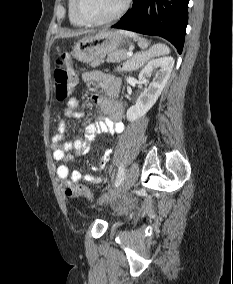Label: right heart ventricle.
<instances>
[{"label": "right heart ventricle", "instance_id": "1", "mask_svg": "<svg viewBox=\"0 0 233 284\" xmlns=\"http://www.w3.org/2000/svg\"><path fill=\"white\" fill-rule=\"evenodd\" d=\"M68 7V17L69 21L72 25L77 27H82L86 25L84 22H82L75 13V0H68L67 2Z\"/></svg>", "mask_w": 233, "mask_h": 284}]
</instances>
